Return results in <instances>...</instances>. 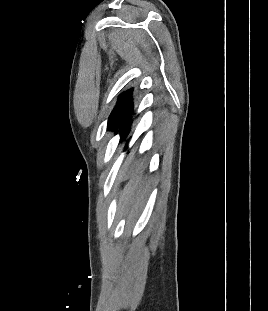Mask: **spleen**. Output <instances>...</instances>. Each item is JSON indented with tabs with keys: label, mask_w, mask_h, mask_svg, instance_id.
Returning a JSON list of instances; mask_svg holds the SVG:
<instances>
[{
	"label": "spleen",
	"mask_w": 268,
	"mask_h": 311,
	"mask_svg": "<svg viewBox=\"0 0 268 311\" xmlns=\"http://www.w3.org/2000/svg\"><path fill=\"white\" fill-rule=\"evenodd\" d=\"M145 195L141 177L137 175V170L130 173V181L124 187L119 196L118 210L130 215L140 208Z\"/></svg>",
	"instance_id": "3e777b00"
}]
</instances>
